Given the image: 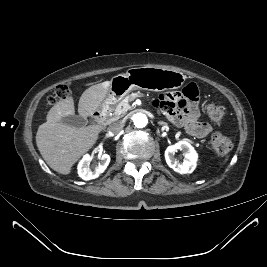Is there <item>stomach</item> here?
Returning <instances> with one entry per match:
<instances>
[{"label":"stomach","mask_w":267,"mask_h":267,"mask_svg":"<svg viewBox=\"0 0 267 267\" xmlns=\"http://www.w3.org/2000/svg\"><path fill=\"white\" fill-rule=\"evenodd\" d=\"M186 76L179 71L157 67H134L111 79L108 93L100 105L106 110L115 105L132 90L165 91L178 89Z\"/></svg>","instance_id":"0dacf381"}]
</instances>
